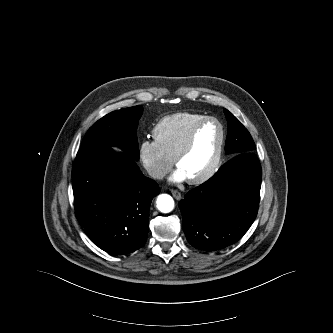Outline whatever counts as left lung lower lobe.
I'll return each mask as SVG.
<instances>
[{
	"instance_id": "obj_1",
	"label": "left lung lower lobe",
	"mask_w": 333,
	"mask_h": 333,
	"mask_svg": "<svg viewBox=\"0 0 333 333\" xmlns=\"http://www.w3.org/2000/svg\"><path fill=\"white\" fill-rule=\"evenodd\" d=\"M261 178L257 156L245 152L234 155L209 180L190 190L179 202L189 243L215 251L237 242L257 216Z\"/></svg>"
}]
</instances>
